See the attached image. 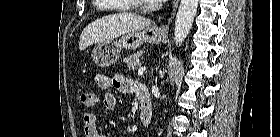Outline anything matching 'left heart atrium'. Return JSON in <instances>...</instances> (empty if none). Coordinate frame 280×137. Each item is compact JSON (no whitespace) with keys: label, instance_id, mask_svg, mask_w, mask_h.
<instances>
[{"label":"left heart atrium","instance_id":"left-heart-atrium-1","mask_svg":"<svg viewBox=\"0 0 280 137\" xmlns=\"http://www.w3.org/2000/svg\"><path fill=\"white\" fill-rule=\"evenodd\" d=\"M151 3H154V4H163L165 2V0H150Z\"/></svg>","mask_w":280,"mask_h":137}]
</instances>
